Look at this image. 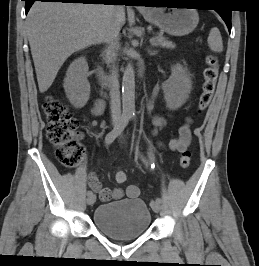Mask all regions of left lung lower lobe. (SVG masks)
Listing matches in <instances>:
<instances>
[{
  "instance_id": "0a47b994",
  "label": "left lung lower lobe",
  "mask_w": 259,
  "mask_h": 266,
  "mask_svg": "<svg viewBox=\"0 0 259 266\" xmlns=\"http://www.w3.org/2000/svg\"><path fill=\"white\" fill-rule=\"evenodd\" d=\"M192 3L191 0H149L148 3L152 4H166L172 5V3ZM222 19L225 21L229 32L231 31V13L232 11L229 9H217L216 10Z\"/></svg>"
}]
</instances>
